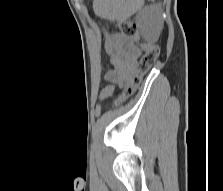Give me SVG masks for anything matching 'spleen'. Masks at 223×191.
Returning a JSON list of instances; mask_svg holds the SVG:
<instances>
[{
    "mask_svg": "<svg viewBox=\"0 0 223 191\" xmlns=\"http://www.w3.org/2000/svg\"><path fill=\"white\" fill-rule=\"evenodd\" d=\"M142 0H94L96 15L105 19H121L132 15Z\"/></svg>",
    "mask_w": 223,
    "mask_h": 191,
    "instance_id": "3e777b00",
    "label": "spleen"
}]
</instances>
